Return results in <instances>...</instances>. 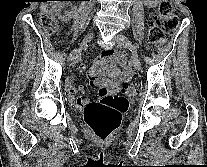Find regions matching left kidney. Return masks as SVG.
Returning <instances> with one entry per match:
<instances>
[{"label": "left kidney", "mask_w": 207, "mask_h": 167, "mask_svg": "<svg viewBox=\"0 0 207 167\" xmlns=\"http://www.w3.org/2000/svg\"><path fill=\"white\" fill-rule=\"evenodd\" d=\"M144 3L148 6H156L157 5V0H144Z\"/></svg>", "instance_id": "left-kidney-1"}]
</instances>
